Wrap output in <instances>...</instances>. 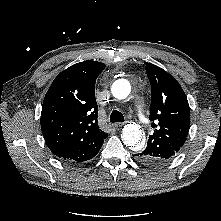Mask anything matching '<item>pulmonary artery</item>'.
<instances>
[{"label":"pulmonary artery","instance_id":"1","mask_svg":"<svg viewBox=\"0 0 221 221\" xmlns=\"http://www.w3.org/2000/svg\"><path fill=\"white\" fill-rule=\"evenodd\" d=\"M139 115H140V119L142 120V122H145V118L143 117V115H142V112H141V111L139 112Z\"/></svg>","mask_w":221,"mask_h":221}]
</instances>
